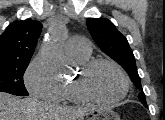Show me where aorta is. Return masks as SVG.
Masks as SVG:
<instances>
[{"mask_svg": "<svg viewBox=\"0 0 165 120\" xmlns=\"http://www.w3.org/2000/svg\"><path fill=\"white\" fill-rule=\"evenodd\" d=\"M65 26L62 21H55L50 29L48 39L42 45L39 55L53 74L60 75L66 69V62L62 57V47Z\"/></svg>", "mask_w": 165, "mask_h": 120, "instance_id": "762f6f07", "label": "aorta"}]
</instances>
